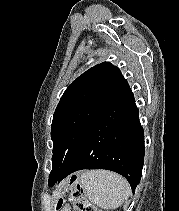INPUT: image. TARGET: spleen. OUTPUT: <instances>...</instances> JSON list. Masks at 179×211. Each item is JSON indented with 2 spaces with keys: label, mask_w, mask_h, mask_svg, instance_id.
Here are the masks:
<instances>
[{
  "label": "spleen",
  "mask_w": 179,
  "mask_h": 211,
  "mask_svg": "<svg viewBox=\"0 0 179 211\" xmlns=\"http://www.w3.org/2000/svg\"><path fill=\"white\" fill-rule=\"evenodd\" d=\"M80 182L86 190L88 199L105 210L121 206L131 193L125 178L107 170L84 171Z\"/></svg>",
  "instance_id": "1"
}]
</instances>
